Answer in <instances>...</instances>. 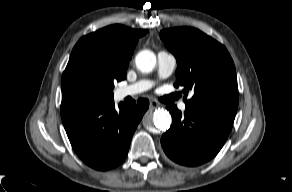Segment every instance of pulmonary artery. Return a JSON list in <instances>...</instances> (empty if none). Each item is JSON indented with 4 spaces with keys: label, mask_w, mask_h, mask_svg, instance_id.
Segmentation results:
<instances>
[{
    "label": "pulmonary artery",
    "mask_w": 292,
    "mask_h": 192,
    "mask_svg": "<svg viewBox=\"0 0 292 192\" xmlns=\"http://www.w3.org/2000/svg\"><path fill=\"white\" fill-rule=\"evenodd\" d=\"M158 61V77L160 79L168 78L175 70L177 61L173 54L160 51L157 54ZM154 85L153 81L150 80H140L128 86L121 87L117 89L116 94L118 98L123 99L128 96H134L151 89ZM179 109L185 111L186 104L180 103Z\"/></svg>",
    "instance_id": "e3ab8cb5"
}]
</instances>
